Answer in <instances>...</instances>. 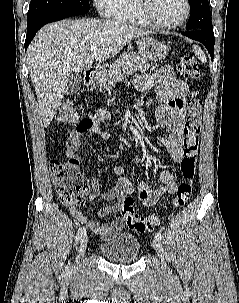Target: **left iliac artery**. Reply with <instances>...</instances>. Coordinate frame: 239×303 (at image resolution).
Returning a JSON list of instances; mask_svg holds the SVG:
<instances>
[{
	"label": "left iliac artery",
	"instance_id": "44dca946",
	"mask_svg": "<svg viewBox=\"0 0 239 303\" xmlns=\"http://www.w3.org/2000/svg\"><path fill=\"white\" fill-rule=\"evenodd\" d=\"M155 238L158 239V240H160V241H162L164 243V237H163V235L160 232H157L155 234Z\"/></svg>",
	"mask_w": 239,
	"mask_h": 303
}]
</instances>
